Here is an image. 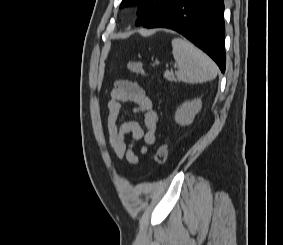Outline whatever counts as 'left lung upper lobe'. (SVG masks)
<instances>
[{"instance_id": "5c2ea615", "label": "left lung upper lobe", "mask_w": 283, "mask_h": 245, "mask_svg": "<svg viewBox=\"0 0 283 245\" xmlns=\"http://www.w3.org/2000/svg\"><path fill=\"white\" fill-rule=\"evenodd\" d=\"M173 0H123L120 7L129 4H138L137 24L146 27L159 16Z\"/></svg>"}]
</instances>
